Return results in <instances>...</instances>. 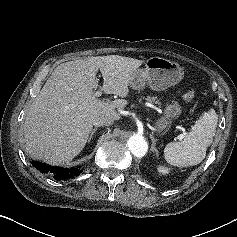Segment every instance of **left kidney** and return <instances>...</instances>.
<instances>
[{"mask_svg": "<svg viewBox=\"0 0 237 237\" xmlns=\"http://www.w3.org/2000/svg\"><path fill=\"white\" fill-rule=\"evenodd\" d=\"M157 170H158L159 173H161V174H163V175L169 173V169H168L167 167L163 166V165H159V166L157 167Z\"/></svg>", "mask_w": 237, "mask_h": 237, "instance_id": "obj_1", "label": "left kidney"}]
</instances>
